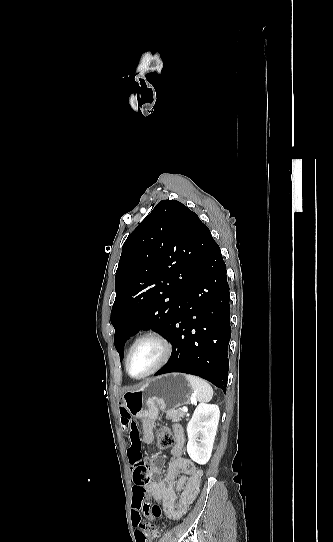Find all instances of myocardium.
<instances>
[{"label": "myocardium", "instance_id": "myocardium-1", "mask_svg": "<svg viewBox=\"0 0 333 542\" xmlns=\"http://www.w3.org/2000/svg\"><path fill=\"white\" fill-rule=\"evenodd\" d=\"M145 341H154V342H156L160 346L161 356H160L159 361L156 363V365L152 369H150L148 372H146V373H144L142 375L135 376V375H132L130 373V371H129V359H130L133 351L135 350V348L138 345H140L142 342H145ZM171 355H172V346H171L170 342L168 341V339L164 335H162L161 333H158V332H154V331L146 332V333L140 335L131 344V346H130L127 354H126L125 360H124L125 371L133 379L147 378V377L155 374L159 370H161L169 362V360L171 358Z\"/></svg>", "mask_w": 333, "mask_h": 542}]
</instances>
